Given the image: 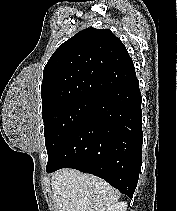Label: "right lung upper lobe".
<instances>
[{"label":"right lung upper lobe","mask_w":178,"mask_h":211,"mask_svg":"<svg viewBox=\"0 0 178 211\" xmlns=\"http://www.w3.org/2000/svg\"><path fill=\"white\" fill-rule=\"evenodd\" d=\"M136 77L124 44L108 29L87 28L64 42L43 71L42 110L76 99L98 100Z\"/></svg>","instance_id":"cb5924a9"}]
</instances>
